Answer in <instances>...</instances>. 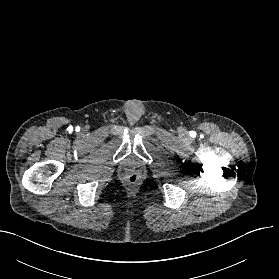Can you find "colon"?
I'll return each mask as SVG.
<instances>
[{
  "instance_id": "5ec220e1",
  "label": "colon",
  "mask_w": 279,
  "mask_h": 279,
  "mask_svg": "<svg viewBox=\"0 0 279 279\" xmlns=\"http://www.w3.org/2000/svg\"><path fill=\"white\" fill-rule=\"evenodd\" d=\"M127 181L130 183V184H135L137 181H138V176L136 174H130L128 177H127Z\"/></svg>"
}]
</instances>
